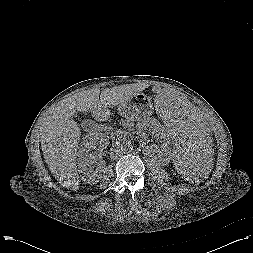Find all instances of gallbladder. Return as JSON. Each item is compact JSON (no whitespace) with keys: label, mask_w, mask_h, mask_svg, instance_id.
Returning <instances> with one entry per match:
<instances>
[{"label":"gallbladder","mask_w":253,"mask_h":253,"mask_svg":"<svg viewBox=\"0 0 253 253\" xmlns=\"http://www.w3.org/2000/svg\"><path fill=\"white\" fill-rule=\"evenodd\" d=\"M88 122H90V120H83V121L81 122V126H82L83 128L86 129V124H87Z\"/></svg>","instance_id":"bac80fb5"}]
</instances>
